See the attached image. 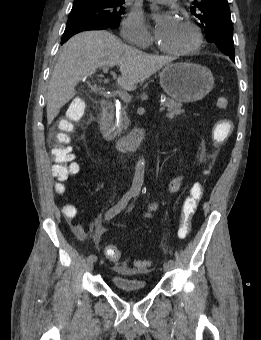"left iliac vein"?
I'll use <instances>...</instances> for the list:
<instances>
[{
	"mask_svg": "<svg viewBox=\"0 0 261 340\" xmlns=\"http://www.w3.org/2000/svg\"><path fill=\"white\" fill-rule=\"evenodd\" d=\"M172 268H173V266L170 265L168 262H165V263L163 264V269H164V271H170V270H172Z\"/></svg>",
	"mask_w": 261,
	"mask_h": 340,
	"instance_id": "obj_1",
	"label": "left iliac vein"
}]
</instances>
